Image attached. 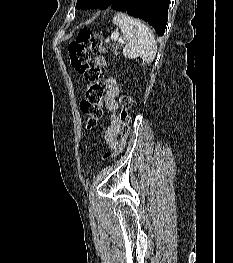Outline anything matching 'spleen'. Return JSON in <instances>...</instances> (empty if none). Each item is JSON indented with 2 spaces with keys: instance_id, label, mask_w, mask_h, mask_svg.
<instances>
[{
  "instance_id": "obj_1",
  "label": "spleen",
  "mask_w": 233,
  "mask_h": 263,
  "mask_svg": "<svg viewBox=\"0 0 233 263\" xmlns=\"http://www.w3.org/2000/svg\"><path fill=\"white\" fill-rule=\"evenodd\" d=\"M113 23L117 25L123 35L126 45L123 55L127 59L140 57L145 63H152L157 53V44L151 29L141 20L118 12Z\"/></svg>"
}]
</instances>
